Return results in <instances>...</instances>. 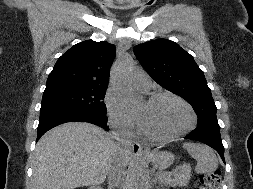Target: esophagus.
Masks as SVG:
<instances>
[{"label":"esophagus","instance_id":"1","mask_svg":"<svg viewBox=\"0 0 253 189\" xmlns=\"http://www.w3.org/2000/svg\"><path fill=\"white\" fill-rule=\"evenodd\" d=\"M131 149H132V153L134 155L142 156V155L145 154V151H144L143 147L138 142H134L132 144Z\"/></svg>","mask_w":253,"mask_h":189}]
</instances>
